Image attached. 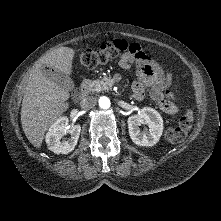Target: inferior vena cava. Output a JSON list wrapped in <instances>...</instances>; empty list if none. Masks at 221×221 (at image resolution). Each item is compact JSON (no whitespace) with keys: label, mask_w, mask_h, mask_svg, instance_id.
<instances>
[{"label":"inferior vena cava","mask_w":221,"mask_h":221,"mask_svg":"<svg viewBox=\"0 0 221 221\" xmlns=\"http://www.w3.org/2000/svg\"><path fill=\"white\" fill-rule=\"evenodd\" d=\"M96 103H97V99L95 97L88 96L80 102V106L83 109H90V108H93L96 105Z\"/></svg>","instance_id":"obj_1"}]
</instances>
